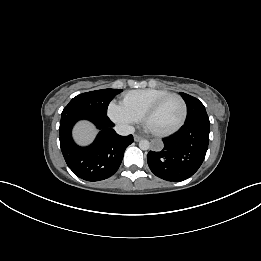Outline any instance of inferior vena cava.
Listing matches in <instances>:
<instances>
[{"label":"inferior vena cava","mask_w":261,"mask_h":261,"mask_svg":"<svg viewBox=\"0 0 261 261\" xmlns=\"http://www.w3.org/2000/svg\"><path fill=\"white\" fill-rule=\"evenodd\" d=\"M114 129L119 135L123 136L133 134L135 132V128L128 124H117Z\"/></svg>","instance_id":"1"}]
</instances>
